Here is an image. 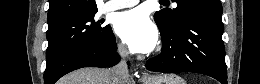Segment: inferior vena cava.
Here are the masks:
<instances>
[{"label": "inferior vena cava", "mask_w": 260, "mask_h": 84, "mask_svg": "<svg viewBox=\"0 0 260 84\" xmlns=\"http://www.w3.org/2000/svg\"><path fill=\"white\" fill-rule=\"evenodd\" d=\"M118 52L121 56V61L112 68L113 84H129V71L126 64L128 53L122 48H119Z\"/></svg>", "instance_id": "1"}]
</instances>
